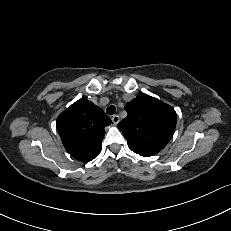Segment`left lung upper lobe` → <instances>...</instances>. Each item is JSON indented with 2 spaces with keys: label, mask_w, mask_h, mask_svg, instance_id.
Returning a JSON list of instances; mask_svg holds the SVG:
<instances>
[{
  "label": "left lung upper lobe",
  "mask_w": 231,
  "mask_h": 231,
  "mask_svg": "<svg viewBox=\"0 0 231 231\" xmlns=\"http://www.w3.org/2000/svg\"><path fill=\"white\" fill-rule=\"evenodd\" d=\"M125 110L127 117L118 127L135 153L153 156L172 138L177 118L170 105L141 93L125 106Z\"/></svg>",
  "instance_id": "left-lung-upper-lobe-1"
}]
</instances>
